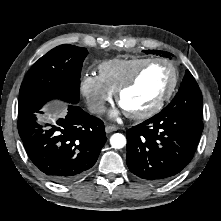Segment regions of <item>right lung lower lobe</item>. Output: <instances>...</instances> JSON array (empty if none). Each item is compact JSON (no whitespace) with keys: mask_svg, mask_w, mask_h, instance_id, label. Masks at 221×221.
<instances>
[{"mask_svg":"<svg viewBox=\"0 0 221 221\" xmlns=\"http://www.w3.org/2000/svg\"><path fill=\"white\" fill-rule=\"evenodd\" d=\"M67 111L54 123L40 124L34 113L18 119L19 136L31 162L61 184L85 176L107 140L102 120L75 104H69Z\"/></svg>","mask_w":221,"mask_h":221,"instance_id":"1","label":"right lung lower lobe"}]
</instances>
